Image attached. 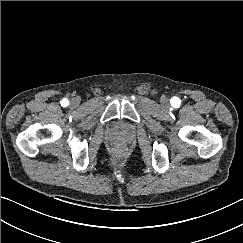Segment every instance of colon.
I'll list each match as a JSON object with an SVG mask.
<instances>
[{"label": "colon", "instance_id": "colon-1", "mask_svg": "<svg viewBox=\"0 0 243 243\" xmlns=\"http://www.w3.org/2000/svg\"><path fill=\"white\" fill-rule=\"evenodd\" d=\"M114 153L119 156L122 153V150L120 148H115Z\"/></svg>", "mask_w": 243, "mask_h": 243}]
</instances>
